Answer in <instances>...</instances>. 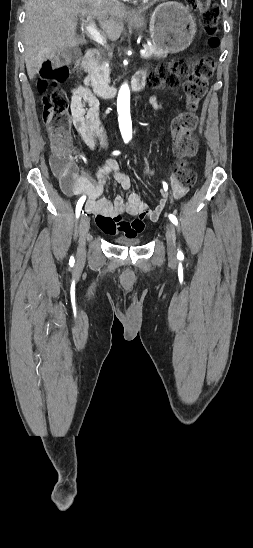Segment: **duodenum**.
Wrapping results in <instances>:
<instances>
[{"mask_svg":"<svg viewBox=\"0 0 253 548\" xmlns=\"http://www.w3.org/2000/svg\"><path fill=\"white\" fill-rule=\"evenodd\" d=\"M99 55V51L95 48L89 49L83 57H81L75 65L77 71L84 69L91 62H93ZM144 86V76L136 75L132 81V89L134 91H140ZM95 93L102 98H114L117 94V89L112 86H96Z\"/></svg>","mask_w":253,"mask_h":548,"instance_id":"obj_1","label":"duodenum"}]
</instances>
